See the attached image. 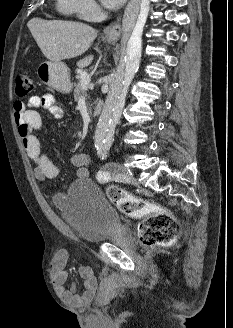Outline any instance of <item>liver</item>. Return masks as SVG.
<instances>
[{"label":"liver","instance_id":"liver-1","mask_svg":"<svg viewBox=\"0 0 233 328\" xmlns=\"http://www.w3.org/2000/svg\"><path fill=\"white\" fill-rule=\"evenodd\" d=\"M30 31L44 56L53 62L82 55L97 36V31L89 25L62 20L34 19ZM92 60L93 55H89L77 65L86 67Z\"/></svg>","mask_w":233,"mask_h":328}]
</instances>
